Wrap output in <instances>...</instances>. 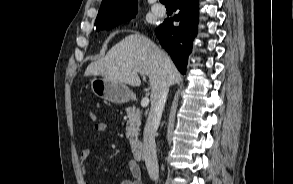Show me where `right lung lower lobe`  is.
I'll return each mask as SVG.
<instances>
[{"instance_id":"98d812e1","label":"right lung lower lobe","mask_w":293,"mask_h":184,"mask_svg":"<svg viewBox=\"0 0 293 184\" xmlns=\"http://www.w3.org/2000/svg\"><path fill=\"white\" fill-rule=\"evenodd\" d=\"M172 3L179 13L174 19H166L155 32L179 71L185 74L187 58L197 33L198 0H172ZM173 20L179 21L180 25L173 26Z\"/></svg>"}]
</instances>
